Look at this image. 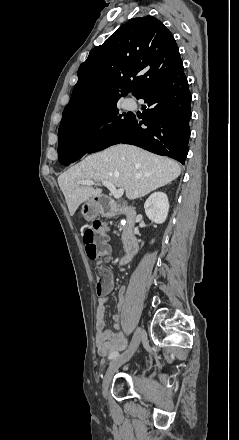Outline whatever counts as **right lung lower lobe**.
<instances>
[{
	"label": "right lung lower lobe",
	"instance_id": "right-lung-lower-lobe-1",
	"mask_svg": "<svg viewBox=\"0 0 239 440\" xmlns=\"http://www.w3.org/2000/svg\"><path fill=\"white\" fill-rule=\"evenodd\" d=\"M136 98L143 99L149 107L142 113V117L132 114L121 126L100 136L90 145L62 147L58 150L60 163L67 166L86 153L97 152L117 143H126L169 156L184 165L190 137L192 96L182 60Z\"/></svg>",
	"mask_w": 239,
	"mask_h": 440
}]
</instances>
